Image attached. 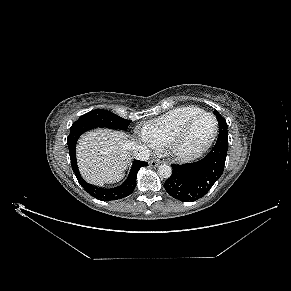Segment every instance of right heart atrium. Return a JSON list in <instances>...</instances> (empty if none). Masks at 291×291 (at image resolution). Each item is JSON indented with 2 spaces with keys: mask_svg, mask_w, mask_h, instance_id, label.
Returning <instances> with one entry per match:
<instances>
[{
  "mask_svg": "<svg viewBox=\"0 0 291 291\" xmlns=\"http://www.w3.org/2000/svg\"><path fill=\"white\" fill-rule=\"evenodd\" d=\"M144 139V138H143ZM144 142L146 143V144H148V145H150L145 139H144ZM151 146V145H150Z\"/></svg>",
  "mask_w": 291,
  "mask_h": 291,
  "instance_id": "right-heart-atrium-1",
  "label": "right heart atrium"
}]
</instances>
